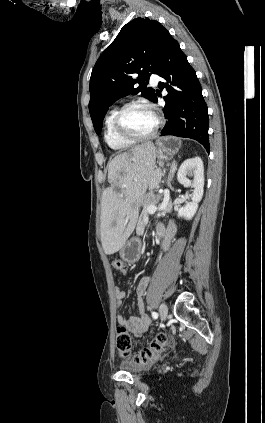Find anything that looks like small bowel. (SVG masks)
I'll list each match as a JSON object with an SVG mask.
<instances>
[{
	"instance_id": "1",
	"label": "small bowel",
	"mask_w": 265,
	"mask_h": 423,
	"mask_svg": "<svg viewBox=\"0 0 265 423\" xmlns=\"http://www.w3.org/2000/svg\"><path fill=\"white\" fill-rule=\"evenodd\" d=\"M164 230V240L162 243V249L163 251H166L175 236L176 233V227L172 222H169L167 225L158 224L156 226V232L157 230ZM120 275L125 276L127 275V270L123 268L120 272ZM149 279L148 277H142L139 282L136 285L135 293L137 295V310L139 313V316H124L122 314H118L116 316L117 323L120 326H125L128 331L133 334L134 336H141L144 332L147 331L150 325V318L145 312V304L143 301V296L146 293L147 286H148ZM114 294L116 297V306L119 307L121 305L122 299L125 298L126 293L120 289L119 287H116L114 290Z\"/></svg>"
}]
</instances>
